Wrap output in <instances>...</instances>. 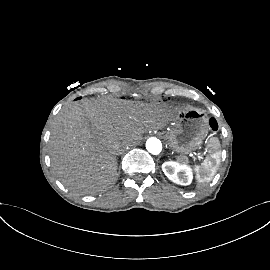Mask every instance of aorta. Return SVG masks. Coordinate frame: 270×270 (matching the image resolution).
I'll return each instance as SVG.
<instances>
[{
  "label": "aorta",
  "mask_w": 270,
  "mask_h": 270,
  "mask_svg": "<svg viewBox=\"0 0 270 270\" xmlns=\"http://www.w3.org/2000/svg\"><path fill=\"white\" fill-rule=\"evenodd\" d=\"M146 149L151 154L157 155L162 151V143L159 139L151 137L146 141Z\"/></svg>",
  "instance_id": "762f6f07"
}]
</instances>
